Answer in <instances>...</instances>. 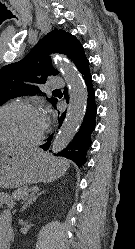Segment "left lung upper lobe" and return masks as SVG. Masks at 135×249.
<instances>
[{
    "mask_svg": "<svg viewBox=\"0 0 135 249\" xmlns=\"http://www.w3.org/2000/svg\"><path fill=\"white\" fill-rule=\"evenodd\" d=\"M52 53L65 54L79 72L89 63L83 46L75 36L61 29L53 30L22 60L0 69V106L15 97L42 93L39 85L44 84L48 76L58 74L51 65L49 55ZM47 100L53 105L57 102L55 97Z\"/></svg>",
    "mask_w": 135,
    "mask_h": 249,
    "instance_id": "1",
    "label": "left lung upper lobe"
}]
</instances>
